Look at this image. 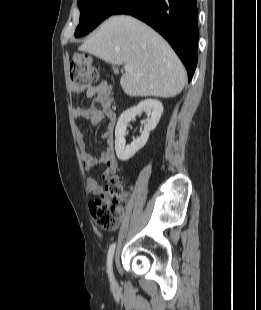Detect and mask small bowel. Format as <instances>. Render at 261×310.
Wrapping results in <instances>:
<instances>
[{
	"mask_svg": "<svg viewBox=\"0 0 261 310\" xmlns=\"http://www.w3.org/2000/svg\"><path fill=\"white\" fill-rule=\"evenodd\" d=\"M72 91L75 94L84 93L87 98L92 100L87 108L75 107L73 109L75 119L87 120L92 125L100 124L105 118L109 119L105 130L101 133V138L105 140L106 145L98 158L86 151L84 135L79 129L76 131V138L82 150V161L85 169L89 171L98 164H103L105 170L102 177L108 179L116 173L118 168V161L114 153L115 114L112 110L110 87L106 81H103L97 85H75L72 87ZM86 184L88 191L94 195L103 192V187L92 176H88Z\"/></svg>",
	"mask_w": 261,
	"mask_h": 310,
	"instance_id": "obj_1",
	"label": "small bowel"
}]
</instances>
